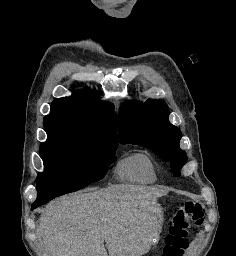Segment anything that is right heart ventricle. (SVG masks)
<instances>
[{
  "label": "right heart ventricle",
  "mask_w": 236,
  "mask_h": 256,
  "mask_svg": "<svg viewBox=\"0 0 236 256\" xmlns=\"http://www.w3.org/2000/svg\"><path fill=\"white\" fill-rule=\"evenodd\" d=\"M117 175L121 181L134 184H152L158 177L153 159L144 152L123 158L118 163Z\"/></svg>",
  "instance_id": "1"
}]
</instances>
